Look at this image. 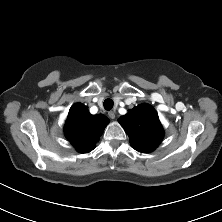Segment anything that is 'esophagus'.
Masks as SVG:
<instances>
[{"label": "esophagus", "instance_id": "1", "mask_svg": "<svg viewBox=\"0 0 222 222\" xmlns=\"http://www.w3.org/2000/svg\"><path fill=\"white\" fill-rule=\"evenodd\" d=\"M108 116L111 119H115V113L113 111L108 112Z\"/></svg>", "mask_w": 222, "mask_h": 222}]
</instances>
